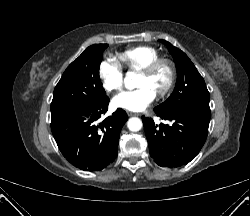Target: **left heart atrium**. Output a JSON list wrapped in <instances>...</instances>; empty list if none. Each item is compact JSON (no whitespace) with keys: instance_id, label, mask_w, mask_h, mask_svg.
Wrapping results in <instances>:
<instances>
[{"instance_id":"obj_1","label":"left heart atrium","mask_w":250,"mask_h":216,"mask_svg":"<svg viewBox=\"0 0 250 216\" xmlns=\"http://www.w3.org/2000/svg\"><path fill=\"white\" fill-rule=\"evenodd\" d=\"M152 99V92L146 87H142L135 91L120 94L116 97L115 102L119 107L138 110L148 105Z\"/></svg>"}]
</instances>
